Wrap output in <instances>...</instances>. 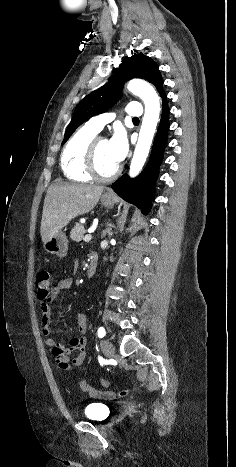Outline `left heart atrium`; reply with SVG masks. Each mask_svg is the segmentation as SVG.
<instances>
[{"label": "left heart atrium", "instance_id": "1", "mask_svg": "<svg viewBox=\"0 0 236 467\" xmlns=\"http://www.w3.org/2000/svg\"><path fill=\"white\" fill-rule=\"evenodd\" d=\"M108 144L112 158L120 163L128 153V141L124 129L116 128L114 134L108 140Z\"/></svg>", "mask_w": 236, "mask_h": 467}]
</instances>
